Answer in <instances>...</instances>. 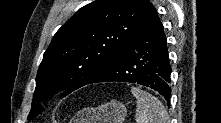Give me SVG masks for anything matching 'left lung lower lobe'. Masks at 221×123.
<instances>
[{
	"label": "left lung lower lobe",
	"instance_id": "1",
	"mask_svg": "<svg viewBox=\"0 0 221 123\" xmlns=\"http://www.w3.org/2000/svg\"><path fill=\"white\" fill-rule=\"evenodd\" d=\"M170 74L167 40L157 14L131 44L87 84L108 81L137 83L154 89L169 104Z\"/></svg>",
	"mask_w": 221,
	"mask_h": 123
}]
</instances>
